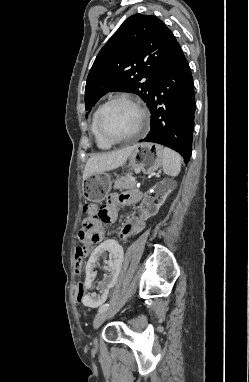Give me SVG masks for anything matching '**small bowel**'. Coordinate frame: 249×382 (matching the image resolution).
Returning <instances> with one entry per match:
<instances>
[{
    "mask_svg": "<svg viewBox=\"0 0 249 382\" xmlns=\"http://www.w3.org/2000/svg\"><path fill=\"white\" fill-rule=\"evenodd\" d=\"M139 200L137 194H116L113 193L109 195L107 203L101 207L103 215L98 219L85 218L82 222V227L78 232V240L82 243V247H78L76 253L80 249L95 250V243L98 242L102 237V231L100 229V222H113L118 216L119 205L132 206L135 205ZM144 227V221L142 217L137 215H131L127 218L125 224L123 225L120 235L123 238H129L137 233H139ZM86 276V273H85ZM77 303H80L76 299Z\"/></svg>",
    "mask_w": 249,
    "mask_h": 382,
    "instance_id": "c3829d8e",
    "label": "small bowel"
}]
</instances>
